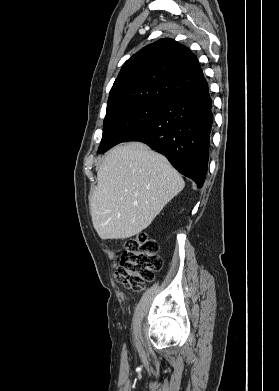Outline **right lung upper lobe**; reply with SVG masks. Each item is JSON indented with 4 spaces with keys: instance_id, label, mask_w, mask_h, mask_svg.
<instances>
[{
    "instance_id": "1",
    "label": "right lung upper lobe",
    "mask_w": 279,
    "mask_h": 391,
    "mask_svg": "<svg viewBox=\"0 0 279 391\" xmlns=\"http://www.w3.org/2000/svg\"><path fill=\"white\" fill-rule=\"evenodd\" d=\"M202 80L198 59L186 46L160 39L124 63L110 90L106 112L138 103L164 104Z\"/></svg>"
}]
</instances>
